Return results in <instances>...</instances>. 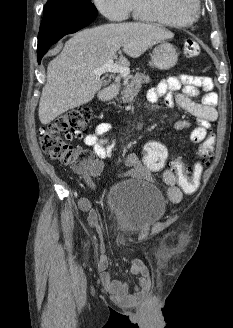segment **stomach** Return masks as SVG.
<instances>
[{
  "label": "stomach",
  "instance_id": "obj_1",
  "mask_svg": "<svg viewBox=\"0 0 233 328\" xmlns=\"http://www.w3.org/2000/svg\"><path fill=\"white\" fill-rule=\"evenodd\" d=\"M177 61L178 54L175 47L166 41H161L152 50L151 62L154 67L160 70H167L174 67Z\"/></svg>",
  "mask_w": 233,
  "mask_h": 328
}]
</instances>
